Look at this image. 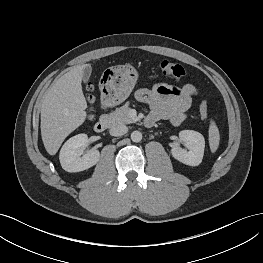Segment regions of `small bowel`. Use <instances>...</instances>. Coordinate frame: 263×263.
I'll list each match as a JSON object with an SVG mask.
<instances>
[{
	"label": "small bowel",
	"instance_id": "c3829d8e",
	"mask_svg": "<svg viewBox=\"0 0 263 263\" xmlns=\"http://www.w3.org/2000/svg\"><path fill=\"white\" fill-rule=\"evenodd\" d=\"M196 94L197 88L192 84L179 87L156 84L151 89H139L135 97L150 108L147 125L159 120H168L173 125H179L187 117L192 97Z\"/></svg>",
	"mask_w": 263,
	"mask_h": 263
}]
</instances>
